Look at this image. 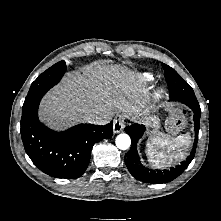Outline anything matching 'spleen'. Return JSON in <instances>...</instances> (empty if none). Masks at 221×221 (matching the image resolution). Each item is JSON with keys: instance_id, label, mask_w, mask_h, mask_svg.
Returning <instances> with one entry per match:
<instances>
[{"instance_id": "1", "label": "spleen", "mask_w": 221, "mask_h": 221, "mask_svg": "<svg viewBox=\"0 0 221 221\" xmlns=\"http://www.w3.org/2000/svg\"><path fill=\"white\" fill-rule=\"evenodd\" d=\"M190 144L189 135L170 138L159 132L147 141L146 154L151 165L160 168L184 159Z\"/></svg>"}]
</instances>
